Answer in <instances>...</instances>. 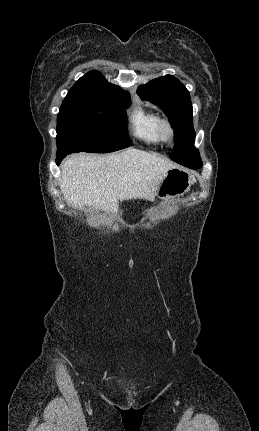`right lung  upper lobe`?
<instances>
[{
    "label": "right lung upper lobe",
    "mask_w": 259,
    "mask_h": 431,
    "mask_svg": "<svg viewBox=\"0 0 259 431\" xmlns=\"http://www.w3.org/2000/svg\"><path fill=\"white\" fill-rule=\"evenodd\" d=\"M112 94H129L120 87L109 83L98 71H90L81 77L69 90L67 97L99 98Z\"/></svg>",
    "instance_id": "1"
}]
</instances>
